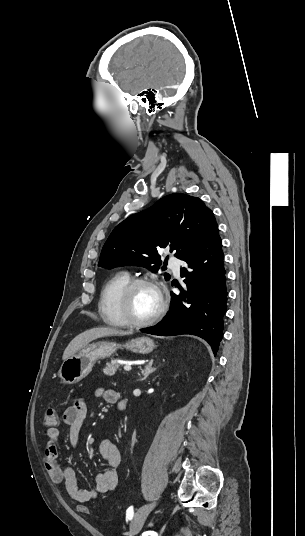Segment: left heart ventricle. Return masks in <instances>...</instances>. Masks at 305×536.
<instances>
[{
    "instance_id": "1",
    "label": "left heart ventricle",
    "mask_w": 305,
    "mask_h": 536,
    "mask_svg": "<svg viewBox=\"0 0 305 536\" xmlns=\"http://www.w3.org/2000/svg\"><path fill=\"white\" fill-rule=\"evenodd\" d=\"M160 305L157 290L151 285H139L130 298V312L134 318H146L155 313Z\"/></svg>"
}]
</instances>
